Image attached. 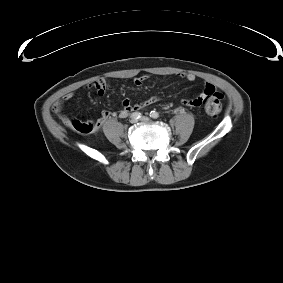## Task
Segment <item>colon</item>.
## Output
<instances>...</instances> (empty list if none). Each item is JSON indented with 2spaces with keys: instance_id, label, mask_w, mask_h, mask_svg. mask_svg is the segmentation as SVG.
I'll return each mask as SVG.
<instances>
[{
  "instance_id": "colon-1",
  "label": "colon",
  "mask_w": 283,
  "mask_h": 283,
  "mask_svg": "<svg viewBox=\"0 0 283 283\" xmlns=\"http://www.w3.org/2000/svg\"><path fill=\"white\" fill-rule=\"evenodd\" d=\"M215 94L217 95V98L219 99V103L215 102L209 105V108L207 110V114L212 117V118H216L220 112H221V103H220V99L222 98L221 94L216 92L215 89ZM62 103L61 102H57L54 104V111L59 113L62 111ZM72 129L82 135H86V134H90L92 132V127L90 123H84V122H79V121H73L72 124Z\"/></svg>"
}]
</instances>
